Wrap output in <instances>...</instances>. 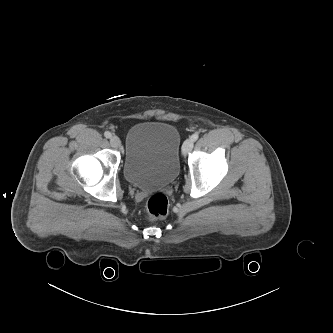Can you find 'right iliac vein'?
Returning a JSON list of instances; mask_svg holds the SVG:
<instances>
[{"label": "right iliac vein", "instance_id": "63e3f726", "mask_svg": "<svg viewBox=\"0 0 333 333\" xmlns=\"http://www.w3.org/2000/svg\"><path fill=\"white\" fill-rule=\"evenodd\" d=\"M110 144H111L112 147L118 148V147L121 146V141L117 136H112L110 138Z\"/></svg>", "mask_w": 333, "mask_h": 333}]
</instances>
